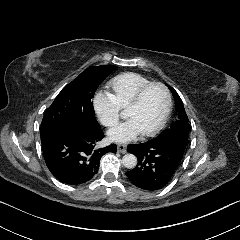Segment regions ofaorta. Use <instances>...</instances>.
Returning a JSON list of instances; mask_svg holds the SVG:
<instances>
[{"label":"aorta","mask_w":240,"mask_h":240,"mask_svg":"<svg viewBox=\"0 0 240 240\" xmlns=\"http://www.w3.org/2000/svg\"><path fill=\"white\" fill-rule=\"evenodd\" d=\"M122 164L126 168H134L137 165V157L133 154H126L122 158Z\"/></svg>","instance_id":"aorta-1"}]
</instances>
